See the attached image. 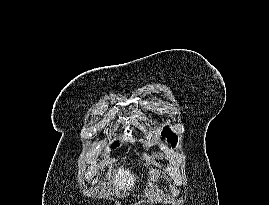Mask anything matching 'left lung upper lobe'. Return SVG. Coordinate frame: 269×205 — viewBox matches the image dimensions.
I'll list each match as a JSON object with an SVG mask.
<instances>
[{
	"mask_svg": "<svg viewBox=\"0 0 269 205\" xmlns=\"http://www.w3.org/2000/svg\"><path fill=\"white\" fill-rule=\"evenodd\" d=\"M162 136L167 137L168 141L172 143L173 147L176 145L177 136L168 127L163 129Z\"/></svg>",
	"mask_w": 269,
	"mask_h": 205,
	"instance_id": "left-lung-upper-lobe-1",
	"label": "left lung upper lobe"
}]
</instances>
